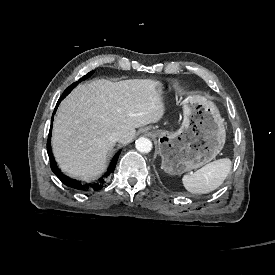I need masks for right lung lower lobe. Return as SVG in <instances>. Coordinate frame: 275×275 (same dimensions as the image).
<instances>
[{"mask_svg": "<svg viewBox=\"0 0 275 275\" xmlns=\"http://www.w3.org/2000/svg\"><path fill=\"white\" fill-rule=\"evenodd\" d=\"M65 96H61V98L59 99L56 107H55V110H54V113L56 112V109L59 105V103L61 102V100L64 98ZM52 121H53V117H52ZM51 129L50 128V131H49V136H48V141H47V152H48V155H49V159H50V166H51V169L53 171V173L61 180V182L63 184H65L66 186L70 187V188H73V189H76V190H80V191H91V190H94V191H97L99 189H102V187L104 186L105 182H106V178L114 172V169H115V166H116V163H117V160H118V157L120 155V152H118L112 159V162L107 170V172L101 177L99 178L96 182L92 183V184H87V183H81L80 181H77L75 179H72L66 175H64L57 167V164L56 162L54 161V158L52 156V153H51V144H50V141H51Z\"/></svg>", "mask_w": 275, "mask_h": 275, "instance_id": "1", "label": "right lung lower lobe"}]
</instances>
